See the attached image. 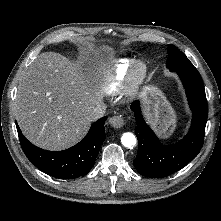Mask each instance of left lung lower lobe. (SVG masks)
<instances>
[{
    "label": "left lung lower lobe",
    "instance_id": "obj_1",
    "mask_svg": "<svg viewBox=\"0 0 221 221\" xmlns=\"http://www.w3.org/2000/svg\"><path fill=\"white\" fill-rule=\"evenodd\" d=\"M177 73L183 82L193 111L190 130L182 140L170 146L162 145L145 123L139 101L131 105L137 122L135 133L138 138L134 166L143 176L162 178L180 170L197 156L203 145L208 114L203 81L196 68L179 70Z\"/></svg>",
    "mask_w": 221,
    "mask_h": 221
}]
</instances>
